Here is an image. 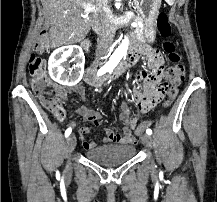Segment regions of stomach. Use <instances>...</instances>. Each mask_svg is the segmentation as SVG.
Listing matches in <instances>:
<instances>
[{
  "instance_id": "1",
  "label": "stomach",
  "mask_w": 217,
  "mask_h": 202,
  "mask_svg": "<svg viewBox=\"0 0 217 202\" xmlns=\"http://www.w3.org/2000/svg\"><path fill=\"white\" fill-rule=\"evenodd\" d=\"M162 0H134L135 8L143 20L144 40L153 44L156 38V22Z\"/></svg>"
}]
</instances>
